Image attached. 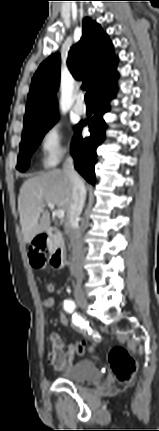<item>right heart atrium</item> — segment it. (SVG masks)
<instances>
[{
	"mask_svg": "<svg viewBox=\"0 0 159 431\" xmlns=\"http://www.w3.org/2000/svg\"><path fill=\"white\" fill-rule=\"evenodd\" d=\"M40 160L45 168L56 166L67 154L68 147L61 124L57 121L49 123L42 131L39 139Z\"/></svg>",
	"mask_w": 159,
	"mask_h": 431,
	"instance_id": "d8ad5b80",
	"label": "right heart atrium"
}]
</instances>
